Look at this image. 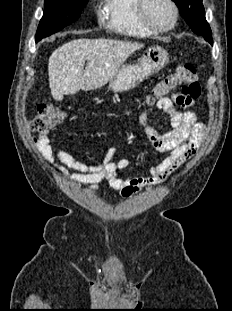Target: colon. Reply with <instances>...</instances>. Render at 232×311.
I'll return each instance as SVG.
<instances>
[{
	"label": "colon",
	"mask_w": 232,
	"mask_h": 311,
	"mask_svg": "<svg viewBox=\"0 0 232 311\" xmlns=\"http://www.w3.org/2000/svg\"><path fill=\"white\" fill-rule=\"evenodd\" d=\"M181 86L182 94L191 99H197L201 93V87L197 68L192 63H185L176 68L175 71L167 74L152 91L149 102L161 99L166 93ZM65 112L52 105H41L33 119L31 120V129L44 133L65 119Z\"/></svg>",
	"instance_id": "1"
}]
</instances>
